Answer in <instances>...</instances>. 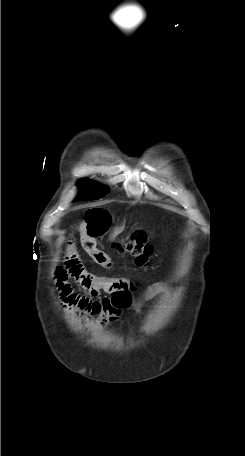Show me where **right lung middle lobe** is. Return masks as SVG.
<instances>
[{"label":"right lung middle lobe","instance_id":"right-lung-middle-lobe-1","mask_svg":"<svg viewBox=\"0 0 245 456\" xmlns=\"http://www.w3.org/2000/svg\"><path fill=\"white\" fill-rule=\"evenodd\" d=\"M78 186L82 189L81 193L77 196L80 200H92L104 197L108 193V188L99 186L91 181L81 180Z\"/></svg>","mask_w":245,"mask_h":456}]
</instances>
